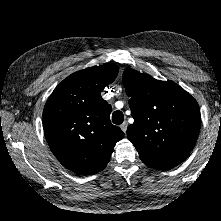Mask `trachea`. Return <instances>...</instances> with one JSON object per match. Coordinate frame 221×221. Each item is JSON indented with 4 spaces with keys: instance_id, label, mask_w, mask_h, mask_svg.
Here are the masks:
<instances>
[{
    "instance_id": "trachea-1",
    "label": "trachea",
    "mask_w": 221,
    "mask_h": 221,
    "mask_svg": "<svg viewBox=\"0 0 221 221\" xmlns=\"http://www.w3.org/2000/svg\"><path fill=\"white\" fill-rule=\"evenodd\" d=\"M124 121V115L120 110L115 111L112 114V122L116 125L122 124Z\"/></svg>"
}]
</instances>
